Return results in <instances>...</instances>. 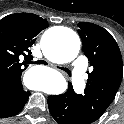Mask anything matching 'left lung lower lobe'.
I'll return each instance as SVG.
<instances>
[{"label":"left lung lower lobe","instance_id":"1","mask_svg":"<svg viewBox=\"0 0 124 124\" xmlns=\"http://www.w3.org/2000/svg\"><path fill=\"white\" fill-rule=\"evenodd\" d=\"M48 106L52 117L59 124H88L82 115L71 84L64 94L49 96Z\"/></svg>","mask_w":124,"mask_h":124}]
</instances>
